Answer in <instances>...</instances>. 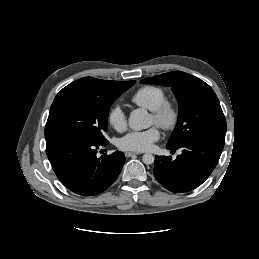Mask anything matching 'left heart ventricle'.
<instances>
[{
  "label": "left heart ventricle",
  "instance_id": "b2bd125f",
  "mask_svg": "<svg viewBox=\"0 0 259 259\" xmlns=\"http://www.w3.org/2000/svg\"><path fill=\"white\" fill-rule=\"evenodd\" d=\"M151 121H152L153 123H155V120H154L153 116L151 117Z\"/></svg>",
  "mask_w": 259,
  "mask_h": 259
}]
</instances>
